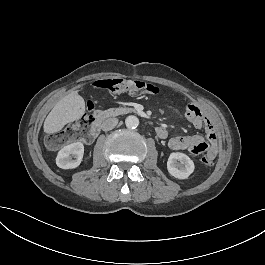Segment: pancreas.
Segmentation results:
<instances>
[{"mask_svg": "<svg viewBox=\"0 0 265 265\" xmlns=\"http://www.w3.org/2000/svg\"><path fill=\"white\" fill-rule=\"evenodd\" d=\"M135 112V109L132 107H118L110 108L104 111L105 117H114L120 114L132 113Z\"/></svg>", "mask_w": 265, "mask_h": 265, "instance_id": "1", "label": "pancreas"}]
</instances>
